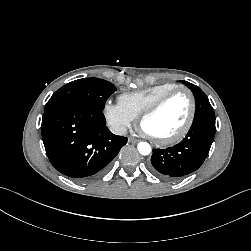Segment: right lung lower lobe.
Listing matches in <instances>:
<instances>
[{
    "instance_id": "98d812e1",
    "label": "right lung lower lobe",
    "mask_w": 251,
    "mask_h": 251,
    "mask_svg": "<svg viewBox=\"0 0 251 251\" xmlns=\"http://www.w3.org/2000/svg\"><path fill=\"white\" fill-rule=\"evenodd\" d=\"M102 110L60 105L44 110L41 133L51 164L79 182L101 176L127 143L112 134Z\"/></svg>"
}]
</instances>
